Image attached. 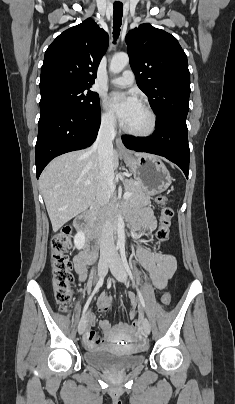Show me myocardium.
<instances>
[{
  "mask_svg": "<svg viewBox=\"0 0 235 404\" xmlns=\"http://www.w3.org/2000/svg\"><path fill=\"white\" fill-rule=\"evenodd\" d=\"M139 105L146 111L147 115H148V126L146 129L144 130H133L128 128L127 126H125V124L122 125V130L135 138H147L150 137L151 135L154 134V132L156 131V127H157V117L156 114L154 112V110L152 109V107L147 104L146 102H140Z\"/></svg>",
  "mask_w": 235,
  "mask_h": 404,
  "instance_id": "obj_1",
  "label": "myocardium"
}]
</instances>
